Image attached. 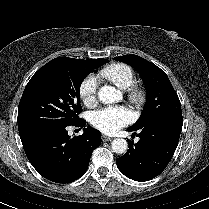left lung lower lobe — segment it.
<instances>
[{"label": "left lung lower lobe", "instance_id": "1", "mask_svg": "<svg viewBox=\"0 0 209 209\" xmlns=\"http://www.w3.org/2000/svg\"><path fill=\"white\" fill-rule=\"evenodd\" d=\"M182 121H160L141 128L140 140L134 145L129 141V149L116 159L119 170L135 181H148L163 172L177 148ZM136 134V133H134Z\"/></svg>", "mask_w": 209, "mask_h": 209}]
</instances>
